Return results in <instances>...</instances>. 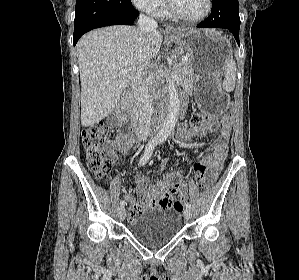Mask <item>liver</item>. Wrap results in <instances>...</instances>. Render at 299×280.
Segmentation results:
<instances>
[{
  "mask_svg": "<svg viewBox=\"0 0 299 280\" xmlns=\"http://www.w3.org/2000/svg\"><path fill=\"white\" fill-rule=\"evenodd\" d=\"M162 41L163 36L157 30L144 38L140 29L126 25L96 29L80 38L76 48L82 126H92L113 111L134 73L147 62V67L150 66ZM123 69L129 73L119 74Z\"/></svg>",
  "mask_w": 299,
  "mask_h": 280,
  "instance_id": "obj_1",
  "label": "liver"
}]
</instances>
